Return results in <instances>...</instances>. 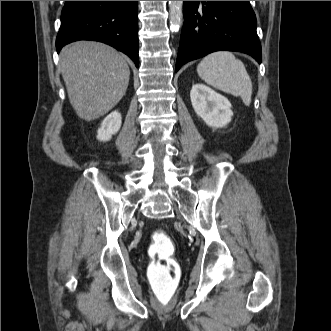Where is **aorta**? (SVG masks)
<instances>
[{"instance_id":"obj_1","label":"aorta","mask_w":331,"mask_h":331,"mask_svg":"<svg viewBox=\"0 0 331 331\" xmlns=\"http://www.w3.org/2000/svg\"><path fill=\"white\" fill-rule=\"evenodd\" d=\"M170 28L178 31L183 23V1H169Z\"/></svg>"}]
</instances>
